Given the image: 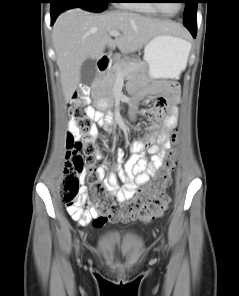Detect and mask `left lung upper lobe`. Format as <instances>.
Masks as SVG:
<instances>
[{
	"instance_id": "obj_1",
	"label": "left lung upper lobe",
	"mask_w": 239,
	"mask_h": 296,
	"mask_svg": "<svg viewBox=\"0 0 239 296\" xmlns=\"http://www.w3.org/2000/svg\"><path fill=\"white\" fill-rule=\"evenodd\" d=\"M186 9L184 11L183 22L184 25L195 24L197 15V3L198 0H185Z\"/></svg>"
}]
</instances>
